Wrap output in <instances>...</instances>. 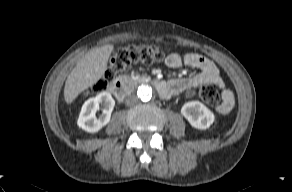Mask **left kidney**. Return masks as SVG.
<instances>
[{
  "label": "left kidney",
  "mask_w": 292,
  "mask_h": 192,
  "mask_svg": "<svg viewBox=\"0 0 292 192\" xmlns=\"http://www.w3.org/2000/svg\"><path fill=\"white\" fill-rule=\"evenodd\" d=\"M181 114L192 127L200 130L208 129L215 119L213 112L199 101L186 102L181 108Z\"/></svg>",
  "instance_id": "1"
}]
</instances>
